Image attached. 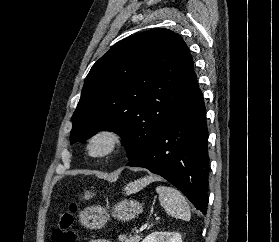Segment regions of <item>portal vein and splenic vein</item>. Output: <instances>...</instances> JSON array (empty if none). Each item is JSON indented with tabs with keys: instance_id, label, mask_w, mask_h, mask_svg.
<instances>
[{
	"instance_id": "1",
	"label": "portal vein and splenic vein",
	"mask_w": 279,
	"mask_h": 242,
	"mask_svg": "<svg viewBox=\"0 0 279 242\" xmlns=\"http://www.w3.org/2000/svg\"><path fill=\"white\" fill-rule=\"evenodd\" d=\"M146 229V227H141L139 230H137L136 232L137 233H141V232H143L144 230Z\"/></svg>"
}]
</instances>
